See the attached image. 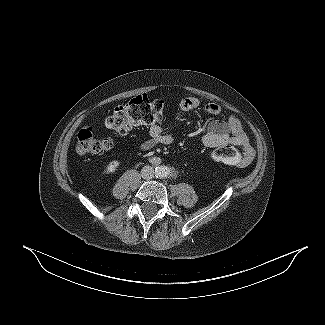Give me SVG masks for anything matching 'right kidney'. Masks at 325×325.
<instances>
[{
	"instance_id": "obj_1",
	"label": "right kidney",
	"mask_w": 325,
	"mask_h": 325,
	"mask_svg": "<svg viewBox=\"0 0 325 325\" xmlns=\"http://www.w3.org/2000/svg\"><path fill=\"white\" fill-rule=\"evenodd\" d=\"M119 164H120V162H118L117 160H114V161L110 162L106 167V171L108 173L115 172L117 170Z\"/></svg>"
}]
</instances>
